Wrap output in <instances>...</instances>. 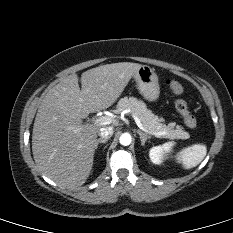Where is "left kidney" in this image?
I'll use <instances>...</instances> for the list:
<instances>
[{
    "label": "left kidney",
    "mask_w": 233,
    "mask_h": 233,
    "mask_svg": "<svg viewBox=\"0 0 233 233\" xmlns=\"http://www.w3.org/2000/svg\"><path fill=\"white\" fill-rule=\"evenodd\" d=\"M172 145L173 143L169 142V143L164 144L162 147L161 146L153 147L149 152L151 161L154 164H161L162 159H163V154H162L163 149L168 150Z\"/></svg>",
    "instance_id": "5707ae66"
}]
</instances>
